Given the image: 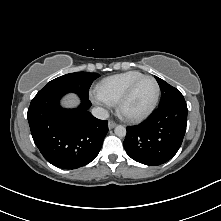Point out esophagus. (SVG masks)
<instances>
[{
    "label": "esophagus",
    "mask_w": 221,
    "mask_h": 221,
    "mask_svg": "<svg viewBox=\"0 0 221 221\" xmlns=\"http://www.w3.org/2000/svg\"><path fill=\"white\" fill-rule=\"evenodd\" d=\"M115 126H116V123H115L114 121L110 120V121L108 122V127H109V129H112V128H114Z\"/></svg>",
    "instance_id": "obj_1"
}]
</instances>
